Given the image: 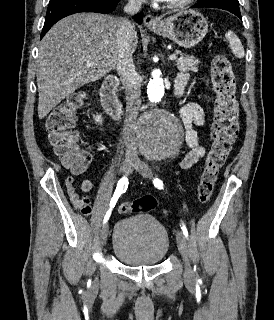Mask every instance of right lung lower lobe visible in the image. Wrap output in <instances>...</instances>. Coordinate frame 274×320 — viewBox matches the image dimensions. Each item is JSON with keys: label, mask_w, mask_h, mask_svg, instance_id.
Returning a JSON list of instances; mask_svg holds the SVG:
<instances>
[{"label": "right lung lower lobe", "mask_w": 274, "mask_h": 320, "mask_svg": "<svg viewBox=\"0 0 274 320\" xmlns=\"http://www.w3.org/2000/svg\"><path fill=\"white\" fill-rule=\"evenodd\" d=\"M120 0H54L47 8L41 38L60 19L79 12L111 13ZM142 14L133 16L139 24L142 23Z\"/></svg>", "instance_id": "right-lung-lower-lobe-1"}]
</instances>
